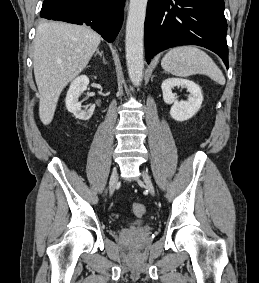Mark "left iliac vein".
Instances as JSON below:
<instances>
[{
  "instance_id": "left-iliac-vein-1",
  "label": "left iliac vein",
  "mask_w": 259,
  "mask_h": 283,
  "mask_svg": "<svg viewBox=\"0 0 259 283\" xmlns=\"http://www.w3.org/2000/svg\"><path fill=\"white\" fill-rule=\"evenodd\" d=\"M142 176H143V180L145 182L146 188L148 189L150 194L154 196L155 190H154V186L152 184L150 177L148 176V174L145 171H143Z\"/></svg>"
}]
</instances>
